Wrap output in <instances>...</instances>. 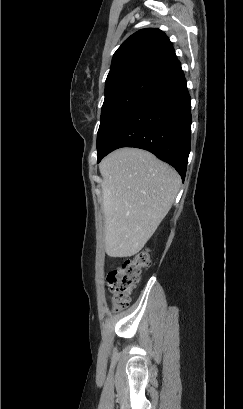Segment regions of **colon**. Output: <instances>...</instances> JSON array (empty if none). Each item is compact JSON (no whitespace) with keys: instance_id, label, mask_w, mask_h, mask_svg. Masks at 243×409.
Instances as JSON below:
<instances>
[{"instance_id":"colon-1","label":"colon","mask_w":243,"mask_h":409,"mask_svg":"<svg viewBox=\"0 0 243 409\" xmlns=\"http://www.w3.org/2000/svg\"><path fill=\"white\" fill-rule=\"evenodd\" d=\"M150 265V251L143 249L134 257L127 259L121 267L113 268L109 272L108 288L112 293V304L116 311L128 306L142 269Z\"/></svg>"}]
</instances>
